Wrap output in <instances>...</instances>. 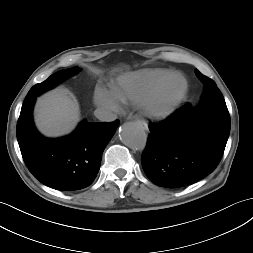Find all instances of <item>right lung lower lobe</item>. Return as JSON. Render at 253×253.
<instances>
[{"label":"right lung lower lobe","mask_w":253,"mask_h":253,"mask_svg":"<svg viewBox=\"0 0 253 253\" xmlns=\"http://www.w3.org/2000/svg\"><path fill=\"white\" fill-rule=\"evenodd\" d=\"M35 100L36 96L25 99L16 131L21 154L29 171L41 183L56 190L74 191L89 186L97 176L102 153L119 121H83L72 134L48 139L33 124Z\"/></svg>","instance_id":"right-lung-lower-lobe-1"}]
</instances>
